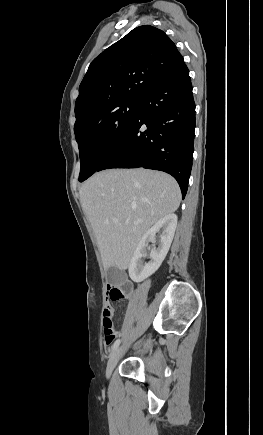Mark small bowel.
Segmentation results:
<instances>
[{
	"instance_id": "c3829d8e",
	"label": "small bowel",
	"mask_w": 263,
	"mask_h": 435,
	"mask_svg": "<svg viewBox=\"0 0 263 435\" xmlns=\"http://www.w3.org/2000/svg\"><path fill=\"white\" fill-rule=\"evenodd\" d=\"M127 287H128V286H127ZM128 288H129V287H128ZM107 311L111 312V314H112V316H113V308H112V306H111V304H110L109 301H107L106 305L104 306V310H103V312H107Z\"/></svg>"
}]
</instances>
